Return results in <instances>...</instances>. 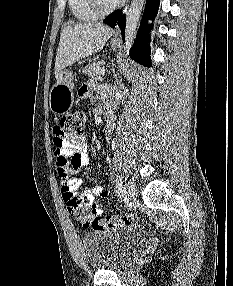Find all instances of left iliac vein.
<instances>
[{
	"mask_svg": "<svg viewBox=\"0 0 233 286\" xmlns=\"http://www.w3.org/2000/svg\"><path fill=\"white\" fill-rule=\"evenodd\" d=\"M123 195H124L125 200L129 204L134 203V201L136 200V197H137V189H136V186L133 182L128 181L124 184Z\"/></svg>",
	"mask_w": 233,
	"mask_h": 286,
	"instance_id": "1",
	"label": "left iliac vein"
}]
</instances>
